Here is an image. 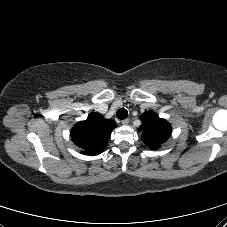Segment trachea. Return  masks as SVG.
<instances>
[{
  "label": "trachea",
  "mask_w": 227,
  "mask_h": 227,
  "mask_svg": "<svg viewBox=\"0 0 227 227\" xmlns=\"http://www.w3.org/2000/svg\"><path fill=\"white\" fill-rule=\"evenodd\" d=\"M116 116L118 119L123 120L128 116V111L125 108H120L117 111Z\"/></svg>",
  "instance_id": "1"
}]
</instances>
